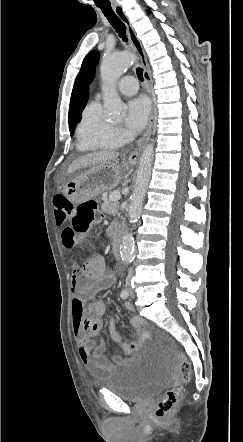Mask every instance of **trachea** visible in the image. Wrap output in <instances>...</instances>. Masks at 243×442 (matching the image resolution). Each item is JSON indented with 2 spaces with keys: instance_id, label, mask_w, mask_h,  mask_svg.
Returning <instances> with one entry per match:
<instances>
[{
  "instance_id": "1",
  "label": "trachea",
  "mask_w": 243,
  "mask_h": 442,
  "mask_svg": "<svg viewBox=\"0 0 243 442\" xmlns=\"http://www.w3.org/2000/svg\"><path fill=\"white\" fill-rule=\"evenodd\" d=\"M103 14L106 16L110 24L114 27L116 32L118 33L119 37L123 39L124 42H127L126 37V31H125V25L121 21V19L115 14L111 6H98ZM137 77L140 81H144L143 77V69L137 68L136 69Z\"/></svg>"
}]
</instances>
